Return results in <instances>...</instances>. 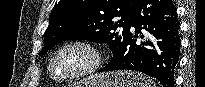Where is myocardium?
Segmentation results:
<instances>
[{
	"mask_svg": "<svg viewBox=\"0 0 205 87\" xmlns=\"http://www.w3.org/2000/svg\"><path fill=\"white\" fill-rule=\"evenodd\" d=\"M70 48H80L85 50L89 54L90 61L85 67H83L82 69L74 73H71L63 77H57L54 74V70H53L54 61L61 52ZM101 64H102V54L99 48L90 41L76 39V40L65 42L54 50V52L52 53L49 59L48 70H49L50 77L53 80L58 82H70L94 74L100 68Z\"/></svg>",
	"mask_w": 205,
	"mask_h": 87,
	"instance_id": "1",
	"label": "myocardium"
}]
</instances>
